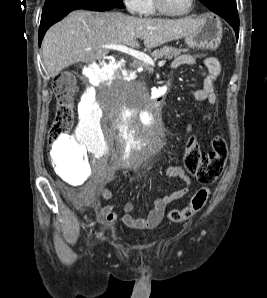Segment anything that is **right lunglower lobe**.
I'll return each instance as SVG.
<instances>
[{
	"label": "right lung lower lobe",
	"instance_id": "right-lung-lower-lobe-1",
	"mask_svg": "<svg viewBox=\"0 0 267 298\" xmlns=\"http://www.w3.org/2000/svg\"><path fill=\"white\" fill-rule=\"evenodd\" d=\"M115 8L109 3H102L99 0H62L42 12L39 27V46L47 29L54 23L61 20L69 12L76 9H86L93 11H105Z\"/></svg>",
	"mask_w": 267,
	"mask_h": 298
}]
</instances>
